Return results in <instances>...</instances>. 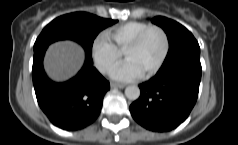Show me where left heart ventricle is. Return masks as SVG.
I'll list each match as a JSON object with an SVG mask.
<instances>
[{
	"instance_id": "left-heart-ventricle-1",
	"label": "left heart ventricle",
	"mask_w": 238,
	"mask_h": 145,
	"mask_svg": "<svg viewBox=\"0 0 238 145\" xmlns=\"http://www.w3.org/2000/svg\"><path fill=\"white\" fill-rule=\"evenodd\" d=\"M163 37L157 30L151 31L139 47L125 53V59L133 62L142 74L149 71L163 51Z\"/></svg>"
}]
</instances>
